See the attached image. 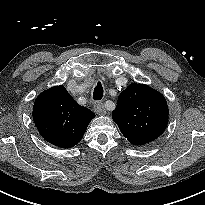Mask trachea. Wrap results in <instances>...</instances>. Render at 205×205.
<instances>
[{"mask_svg": "<svg viewBox=\"0 0 205 205\" xmlns=\"http://www.w3.org/2000/svg\"><path fill=\"white\" fill-rule=\"evenodd\" d=\"M103 93L104 91H103L102 84L99 82L97 86L94 88L93 99L96 101L101 100L103 97Z\"/></svg>", "mask_w": 205, "mask_h": 205, "instance_id": "3493384b", "label": "trachea"}]
</instances>
